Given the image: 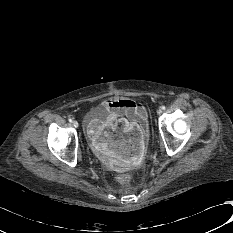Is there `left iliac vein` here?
<instances>
[{
	"mask_svg": "<svg viewBox=\"0 0 233 233\" xmlns=\"http://www.w3.org/2000/svg\"><path fill=\"white\" fill-rule=\"evenodd\" d=\"M157 114H158V115H161V114H162V109H158V110H157Z\"/></svg>",
	"mask_w": 233,
	"mask_h": 233,
	"instance_id": "obj_1",
	"label": "left iliac vein"
}]
</instances>
